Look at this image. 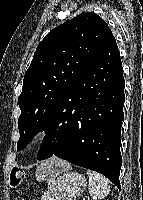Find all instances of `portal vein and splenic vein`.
<instances>
[{
	"label": "portal vein and splenic vein",
	"mask_w": 143,
	"mask_h": 200,
	"mask_svg": "<svg viewBox=\"0 0 143 200\" xmlns=\"http://www.w3.org/2000/svg\"><path fill=\"white\" fill-rule=\"evenodd\" d=\"M83 200H85V199H83ZM87 200H90V198L88 197Z\"/></svg>",
	"instance_id": "portal-vein-and-splenic-vein-1"
}]
</instances>
